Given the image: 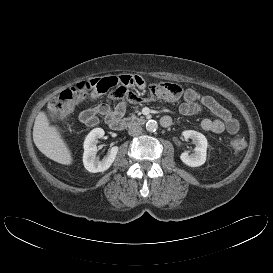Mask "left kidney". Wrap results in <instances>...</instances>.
I'll list each match as a JSON object with an SVG mask.
<instances>
[{"label": "left kidney", "mask_w": 273, "mask_h": 273, "mask_svg": "<svg viewBox=\"0 0 273 273\" xmlns=\"http://www.w3.org/2000/svg\"><path fill=\"white\" fill-rule=\"evenodd\" d=\"M185 139H191L196 145L194 153L189 154L187 151L180 155L181 161L190 167H199L206 161V151L208 142L206 137L197 131L186 130L182 133Z\"/></svg>", "instance_id": "5707ae66"}]
</instances>
